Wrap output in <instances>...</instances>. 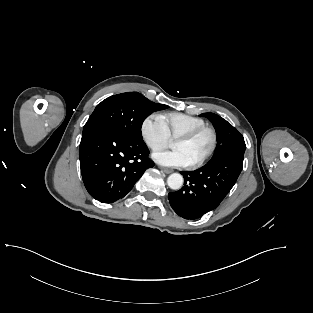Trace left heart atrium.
<instances>
[{
  "mask_svg": "<svg viewBox=\"0 0 313 313\" xmlns=\"http://www.w3.org/2000/svg\"><path fill=\"white\" fill-rule=\"evenodd\" d=\"M153 159L168 167H187L191 164L189 158L181 149L162 150L153 154Z\"/></svg>",
  "mask_w": 313,
  "mask_h": 313,
  "instance_id": "obj_1",
  "label": "left heart atrium"
}]
</instances>
